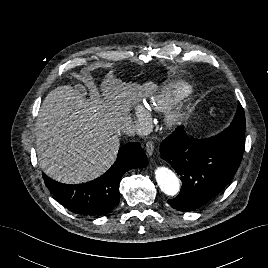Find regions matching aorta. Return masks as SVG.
<instances>
[{
	"mask_svg": "<svg viewBox=\"0 0 268 268\" xmlns=\"http://www.w3.org/2000/svg\"><path fill=\"white\" fill-rule=\"evenodd\" d=\"M155 178L161 191L168 196H174L179 192L180 183L169 168L160 166L155 170Z\"/></svg>",
	"mask_w": 268,
	"mask_h": 268,
	"instance_id": "762f6f07",
	"label": "aorta"
}]
</instances>
